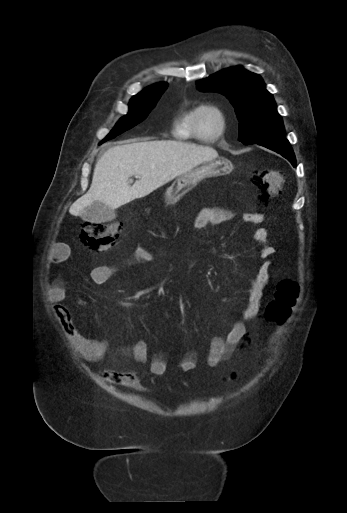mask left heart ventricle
Wrapping results in <instances>:
<instances>
[{
  "mask_svg": "<svg viewBox=\"0 0 347 513\" xmlns=\"http://www.w3.org/2000/svg\"><path fill=\"white\" fill-rule=\"evenodd\" d=\"M201 134L210 137L215 134L220 127V122L216 114L212 112H204L199 119Z\"/></svg>",
  "mask_w": 347,
  "mask_h": 513,
  "instance_id": "obj_1",
  "label": "left heart ventricle"
}]
</instances>
